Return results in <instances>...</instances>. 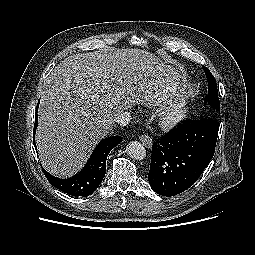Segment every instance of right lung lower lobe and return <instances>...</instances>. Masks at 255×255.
<instances>
[{
    "instance_id": "98d812e1",
    "label": "right lung lower lobe",
    "mask_w": 255,
    "mask_h": 255,
    "mask_svg": "<svg viewBox=\"0 0 255 255\" xmlns=\"http://www.w3.org/2000/svg\"><path fill=\"white\" fill-rule=\"evenodd\" d=\"M39 105V103H38ZM35 116L34 133L37 126V109ZM122 140L121 136H112L103 139L94 150L83 170L75 177L60 179L52 176L43 169L51 185L72 196H88L92 194L102 182L106 171V159L109 152ZM36 147L35 140H33Z\"/></svg>"
}]
</instances>
